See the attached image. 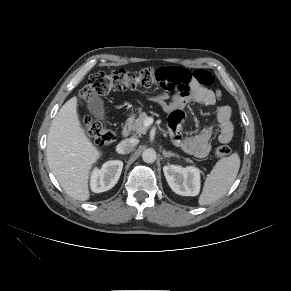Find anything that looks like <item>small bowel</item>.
<instances>
[{
	"label": "small bowel",
	"instance_id": "small-bowel-1",
	"mask_svg": "<svg viewBox=\"0 0 291 291\" xmlns=\"http://www.w3.org/2000/svg\"><path fill=\"white\" fill-rule=\"evenodd\" d=\"M161 75L169 80L176 79L183 84V88L169 97L166 93L157 96V101L163 109L169 113V126L174 142L184 151L196 157L203 158L208 155L211 148V140L215 131H218L220 143L227 144L233 137L234 127L231 121V109L227 105H220L216 108L215 120L211 125L206 126L199 133L183 137L182 125L185 119L184 109L191 103L204 106H214L222 98V93L208 88L213 83L210 73L205 82L197 77L196 73H190L182 67H167L160 69ZM162 86L164 89L167 87ZM169 90V89H168Z\"/></svg>",
	"mask_w": 291,
	"mask_h": 291
}]
</instances>
